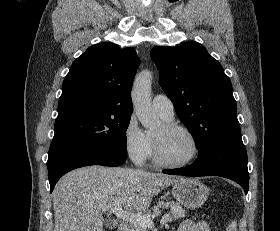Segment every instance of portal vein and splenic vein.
Wrapping results in <instances>:
<instances>
[{"mask_svg":"<svg viewBox=\"0 0 280 231\" xmlns=\"http://www.w3.org/2000/svg\"><path fill=\"white\" fill-rule=\"evenodd\" d=\"M112 211L118 219H123V221H130V223H139L143 227H154V221L150 219L149 215H141V213H132V211H125L122 207H112ZM170 221V213H165L160 219L162 225H168Z\"/></svg>","mask_w":280,"mask_h":231,"instance_id":"portal-vein-and-splenic-vein-1","label":"portal vein and splenic vein"}]
</instances>
